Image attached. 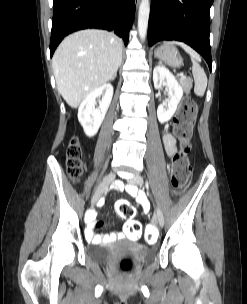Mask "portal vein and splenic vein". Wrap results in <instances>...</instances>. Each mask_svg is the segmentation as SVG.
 <instances>
[{
    "label": "portal vein and splenic vein",
    "mask_w": 247,
    "mask_h": 304,
    "mask_svg": "<svg viewBox=\"0 0 247 304\" xmlns=\"http://www.w3.org/2000/svg\"><path fill=\"white\" fill-rule=\"evenodd\" d=\"M178 76H179V77H183V76H184V73H179Z\"/></svg>",
    "instance_id": "1"
}]
</instances>
